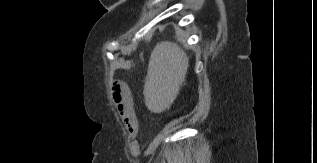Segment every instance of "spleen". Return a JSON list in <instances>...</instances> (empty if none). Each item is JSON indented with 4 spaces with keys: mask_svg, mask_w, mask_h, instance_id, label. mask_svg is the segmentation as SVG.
Listing matches in <instances>:
<instances>
[{
    "mask_svg": "<svg viewBox=\"0 0 317 163\" xmlns=\"http://www.w3.org/2000/svg\"><path fill=\"white\" fill-rule=\"evenodd\" d=\"M189 58L172 42L158 43L149 61L144 86L146 105L153 112L169 108L185 80Z\"/></svg>",
    "mask_w": 317,
    "mask_h": 163,
    "instance_id": "obj_1",
    "label": "spleen"
}]
</instances>
